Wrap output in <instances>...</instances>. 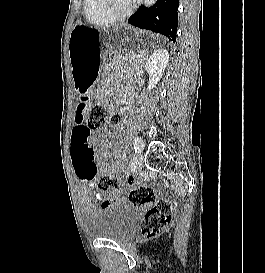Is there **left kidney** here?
<instances>
[{
  "label": "left kidney",
  "mask_w": 265,
  "mask_h": 273,
  "mask_svg": "<svg viewBox=\"0 0 265 273\" xmlns=\"http://www.w3.org/2000/svg\"><path fill=\"white\" fill-rule=\"evenodd\" d=\"M169 62V53L165 49L155 51L147 60L145 68L149 74L147 90L150 92L163 76L165 68Z\"/></svg>",
  "instance_id": "left-kidney-1"
}]
</instances>
